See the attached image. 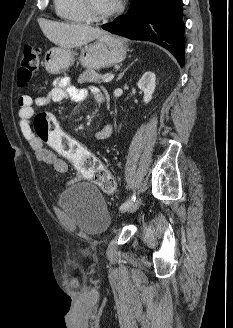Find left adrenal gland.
Returning a JSON list of instances; mask_svg holds the SVG:
<instances>
[{"instance_id": "obj_1", "label": "left adrenal gland", "mask_w": 233, "mask_h": 328, "mask_svg": "<svg viewBox=\"0 0 233 328\" xmlns=\"http://www.w3.org/2000/svg\"><path fill=\"white\" fill-rule=\"evenodd\" d=\"M138 59H135L129 66H127L119 75L116 81H119L125 74V72L137 61Z\"/></svg>"}]
</instances>
